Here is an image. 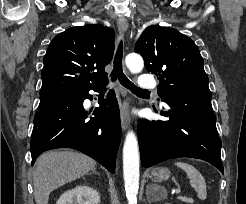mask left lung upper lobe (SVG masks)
I'll list each match as a JSON object with an SVG mask.
<instances>
[{
  "instance_id": "left-lung-upper-lobe-1",
  "label": "left lung upper lobe",
  "mask_w": 246,
  "mask_h": 204,
  "mask_svg": "<svg viewBox=\"0 0 246 204\" xmlns=\"http://www.w3.org/2000/svg\"><path fill=\"white\" fill-rule=\"evenodd\" d=\"M147 71L158 76V95L211 97L204 61L189 37L169 27H147L135 45Z\"/></svg>"
}]
</instances>
